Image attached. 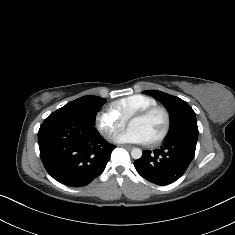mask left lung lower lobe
Segmentation results:
<instances>
[{
	"mask_svg": "<svg viewBox=\"0 0 235 235\" xmlns=\"http://www.w3.org/2000/svg\"><path fill=\"white\" fill-rule=\"evenodd\" d=\"M196 142L180 138L166 140L160 149L143 151L134 162L137 172L148 181L166 185L184 174L194 158Z\"/></svg>",
	"mask_w": 235,
	"mask_h": 235,
	"instance_id": "1",
	"label": "left lung lower lobe"
}]
</instances>
